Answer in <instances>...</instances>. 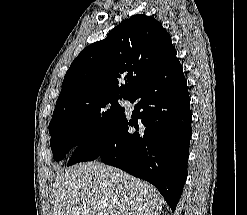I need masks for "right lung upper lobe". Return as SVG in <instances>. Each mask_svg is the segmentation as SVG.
Instances as JSON below:
<instances>
[{
	"mask_svg": "<svg viewBox=\"0 0 247 215\" xmlns=\"http://www.w3.org/2000/svg\"><path fill=\"white\" fill-rule=\"evenodd\" d=\"M171 37L153 17L135 15L123 21L72 62L56 102L67 104L97 95L129 96L152 76L174 50ZM125 84L119 87V79Z\"/></svg>",
	"mask_w": 247,
	"mask_h": 215,
	"instance_id": "right-lung-upper-lobe-1",
	"label": "right lung upper lobe"
}]
</instances>
